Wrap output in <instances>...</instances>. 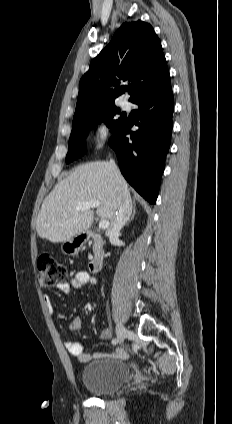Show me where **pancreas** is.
Returning a JSON list of instances; mask_svg holds the SVG:
<instances>
[{
	"label": "pancreas",
	"mask_w": 232,
	"mask_h": 424,
	"mask_svg": "<svg viewBox=\"0 0 232 424\" xmlns=\"http://www.w3.org/2000/svg\"><path fill=\"white\" fill-rule=\"evenodd\" d=\"M98 242H99L98 238H94V249H96Z\"/></svg>",
	"instance_id": "pancreas-1"
}]
</instances>
